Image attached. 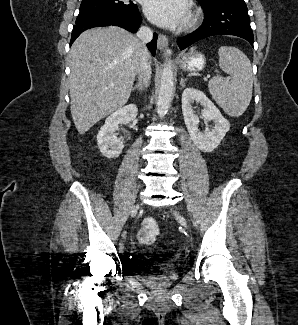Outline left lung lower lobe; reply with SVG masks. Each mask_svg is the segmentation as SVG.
<instances>
[{
    "label": "left lung lower lobe",
    "instance_id": "left-lung-lower-lobe-1",
    "mask_svg": "<svg viewBox=\"0 0 298 325\" xmlns=\"http://www.w3.org/2000/svg\"><path fill=\"white\" fill-rule=\"evenodd\" d=\"M204 9L203 24L196 31L177 39L181 50L214 35H235L253 46L254 37L244 0H221Z\"/></svg>",
    "mask_w": 298,
    "mask_h": 325
}]
</instances>
